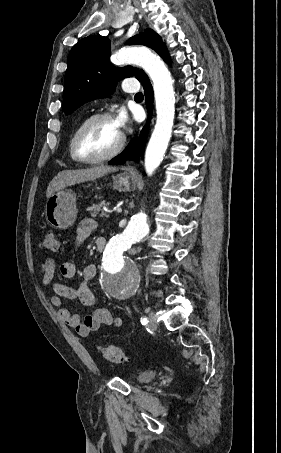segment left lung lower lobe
Returning a JSON list of instances; mask_svg holds the SVG:
<instances>
[{
	"label": "left lung lower lobe",
	"instance_id": "0a47b994",
	"mask_svg": "<svg viewBox=\"0 0 281 453\" xmlns=\"http://www.w3.org/2000/svg\"><path fill=\"white\" fill-rule=\"evenodd\" d=\"M160 56L166 61L169 62V56L168 52L166 49V46L163 48V50L160 53ZM142 85L145 90V96H146V104H147V109L149 113L148 117V123L145 125V127L142 129L140 137H135L131 143L126 147V149L117 157L112 159L109 164L110 165H120L123 164L126 159H134V160H139V155H143L144 151V146L148 134V127H149V122L150 118L152 115V109H153V89L150 84V81L147 77V75L144 77V79L141 81Z\"/></svg>",
	"mask_w": 281,
	"mask_h": 453
}]
</instances>
